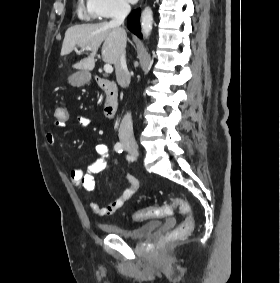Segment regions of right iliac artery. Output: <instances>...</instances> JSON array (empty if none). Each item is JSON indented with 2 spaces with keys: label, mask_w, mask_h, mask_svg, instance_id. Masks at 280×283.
I'll return each instance as SVG.
<instances>
[{
  "label": "right iliac artery",
  "mask_w": 280,
  "mask_h": 283,
  "mask_svg": "<svg viewBox=\"0 0 280 283\" xmlns=\"http://www.w3.org/2000/svg\"><path fill=\"white\" fill-rule=\"evenodd\" d=\"M114 149H115L116 152L122 153V151H123V145L118 142V143L115 144Z\"/></svg>",
  "instance_id": "right-iliac-artery-1"
}]
</instances>
